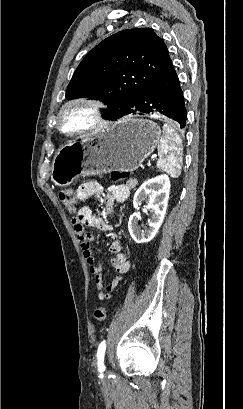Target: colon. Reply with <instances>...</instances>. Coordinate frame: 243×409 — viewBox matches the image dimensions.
Returning <instances> with one entry per match:
<instances>
[{"mask_svg":"<svg viewBox=\"0 0 243 409\" xmlns=\"http://www.w3.org/2000/svg\"><path fill=\"white\" fill-rule=\"evenodd\" d=\"M111 177L115 181H119L128 177V173L125 171H114ZM58 197L62 202L63 206L70 213H75L79 204V197L76 193L68 189H61L58 192ZM94 316L97 321L104 322L107 317V309L104 306H99L94 311Z\"/></svg>","mask_w":243,"mask_h":409,"instance_id":"5ec220e1","label":"colon"}]
</instances>
